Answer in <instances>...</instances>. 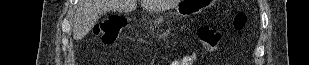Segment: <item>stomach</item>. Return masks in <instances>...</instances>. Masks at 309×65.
Wrapping results in <instances>:
<instances>
[{"label":"stomach","mask_w":309,"mask_h":65,"mask_svg":"<svg viewBox=\"0 0 309 65\" xmlns=\"http://www.w3.org/2000/svg\"><path fill=\"white\" fill-rule=\"evenodd\" d=\"M212 4L209 0H183L177 7L176 12L182 17L198 14Z\"/></svg>","instance_id":"stomach-1"}]
</instances>
